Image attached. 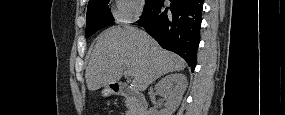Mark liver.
Returning a JSON list of instances; mask_svg holds the SVG:
<instances>
[{"label":"liver","mask_w":285,"mask_h":115,"mask_svg":"<svg viewBox=\"0 0 285 115\" xmlns=\"http://www.w3.org/2000/svg\"><path fill=\"white\" fill-rule=\"evenodd\" d=\"M123 67L134 77V89L144 91L161 76L184 70L186 64L180 56L164 50L137 28L111 27L98 37L86 67L88 90L118 82L123 76Z\"/></svg>","instance_id":"obj_1"}]
</instances>
